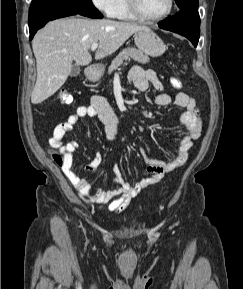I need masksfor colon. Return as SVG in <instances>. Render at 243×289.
<instances>
[{"label": "colon", "instance_id": "colon-1", "mask_svg": "<svg viewBox=\"0 0 243 289\" xmlns=\"http://www.w3.org/2000/svg\"><path fill=\"white\" fill-rule=\"evenodd\" d=\"M170 83L175 89H180L182 87V82L178 78L172 77ZM58 98L63 104H70L72 102V96L66 89L60 90ZM53 159L58 165L62 163V157L57 153H53Z\"/></svg>", "mask_w": 243, "mask_h": 289}]
</instances>
